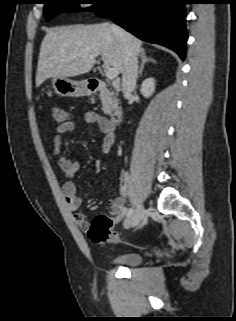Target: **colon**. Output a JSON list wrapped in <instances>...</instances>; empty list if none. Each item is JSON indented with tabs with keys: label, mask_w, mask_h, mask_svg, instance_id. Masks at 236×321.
<instances>
[{
	"label": "colon",
	"mask_w": 236,
	"mask_h": 321,
	"mask_svg": "<svg viewBox=\"0 0 236 321\" xmlns=\"http://www.w3.org/2000/svg\"><path fill=\"white\" fill-rule=\"evenodd\" d=\"M66 111L59 106L52 108V120L57 126L66 122ZM115 219L108 215H98L88 224L86 231L88 237L95 243H117L119 234L114 230Z\"/></svg>",
	"instance_id": "5ec220e1"
}]
</instances>
